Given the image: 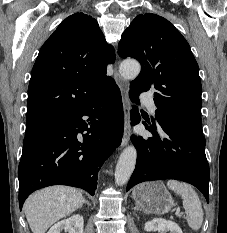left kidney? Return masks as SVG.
Wrapping results in <instances>:
<instances>
[{
	"instance_id": "5707ae66",
	"label": "left kidney",
	"mask_w": 227,
	"mask_h": 233,
	"mask_svg": "<svg viewBox=\"0 0 227 233\" xmlns=\"http://www.w3.org/2000/svg\"><path fill=\"white\" fill-rule=\"evenodd\" d=\"M144 230L147 232L158 231L159 233H166V231H169L170 233H183L178 224L162 218H155L146 222Z\"/></svg>"
}]
</instances>
